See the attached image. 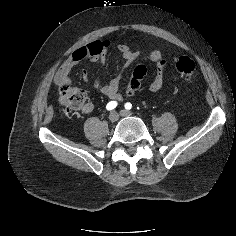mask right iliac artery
<instances>
[{
	"label": "right iliac artery",
	"instance_id": "obj_1",
	"mask_svg": "<svg viewBox=\"0 0 236 236\" xmlns=\"http://www.w3.org/2000/svg\"><path fill=\"white\" fill-rule=\"evenodd\" d=\"M117 102L116 101H110L107 105H106V109L108 110V111H111V110H113L114 108H116V106H117Z\"/></svg>",
	"mask_w": 236,
	"mask_h": 236
}]
</instances>
